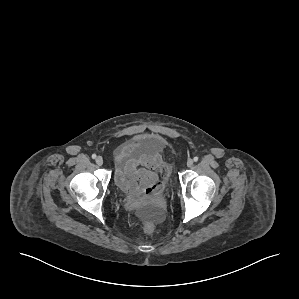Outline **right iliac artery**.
Returning <instances> with one entry per match:
<instances>
[{
    "label": "right iliac artery",
    "instance_id": "82829eb1",
    "mask_svg": "<svg viewBox=\"0 0 299 299\" xmlns=\"http://www.w3.org/2000/svg\"><path fill=\"white\" fill-rule=\"evenodd\" d=\"M96 157H97L96 154H93V155H92V158H93V159H95Z\"/></svg>",
    "mask_w": 299,
    "mask_h": 299
}]
</instances>
